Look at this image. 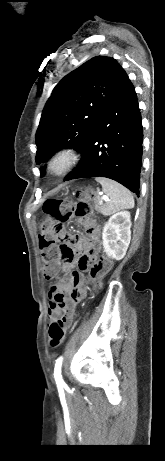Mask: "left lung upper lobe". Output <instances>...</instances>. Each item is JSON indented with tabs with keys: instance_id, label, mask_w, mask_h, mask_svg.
I'll list each match as a JSON object with an SVG mask.
<instances>
[{
	"instance_id": "1",
	"label": "left lung upper lobe",
	"mask_w": 165,
	"mask_h": 461,
	"mask_svg": "<svg viewBox=\"0 0 165 461\" xmlns=\"http://www.w3.org/2000/svg\"><path fill=\"white\" fill-rule=\"evenodd\" d=\"M127 74L113 58L97 56L66 75L48 99L36 132V164L59 149L79 152ZM44 175L45 168H41Z\"/></svg>"
}]
</instances>
